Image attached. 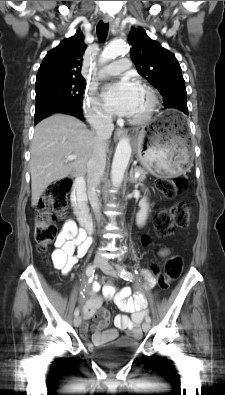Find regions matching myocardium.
<instances>
[{"mask_svg":"<svg viewBox=\"0 0 225 395\" xmlns=\"http://www.w3.org/2000/svg\"><path fill=\"white\" fill-rule=\"evenodd\" d=\"M140 88L146 93L149 103L146 111L139 117L131 118L129 121L132 124L140 125L149 121L155 112L158 105V98L155 91L148 85L142 84Z\"/></svg>","mask_w":225,"mask_h":395,"instance_id":"f54148a6","label":"myocardium"}]
</instances>
